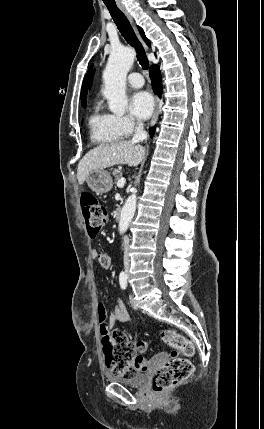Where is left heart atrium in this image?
<instances>
[{"label": "left heart atrium", "mask_w": 264, "mask_h": 429, "mask_svg": "<svg viewBox=\"0 0 264 429\" xmlns=\"http://www.w3.org/2000/svg\"><path fill=\"white\" fill-rule=\"evenodd\" d=\"M154 110L152 96L146 91L136 92L130 99V111L138 119H147Z\"/></svg>", "instance_id": "left-heart-atrium-1"}]
</instances>
